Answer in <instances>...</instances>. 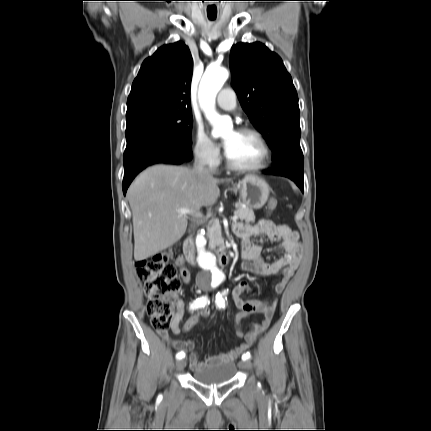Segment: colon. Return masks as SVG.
Wrapping results in <instances>:
<instances>
[{
  "mask_svg": "<svg viewBox=\"0 0 431 431\" xmlns=\"http://www.w3.org/2000/svg\"><path fill=\"white\" fill-rule=\"evenodd\" d=\"M275 207L276 201L270 199L267 210L272 211ZM172 259L171 253L164 252L136 263L137 276L144 286L148 299L147 314L152 326L157 330H166L169 327L174 313L175 299L181 292V280L176 266L171 262ZM210 315L208 306H201L197 313H189L183 332L190 334L199 324L207 323ZM248 316L247 310H238L234 313L233 326L238 338L245 335L244 330L240 329V323Z\"/></svg>",
  "mask_w": 431,
  "mask_h": 431,
  "instance_id": "colon-1",
  "label": "colon"
}]
</instances>
